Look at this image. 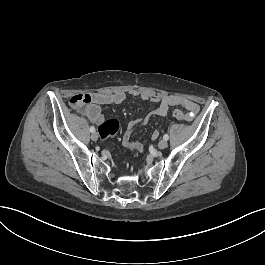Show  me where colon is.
<instances>
[{"label":"colon","instance_id":"obj_1","mask_svg":"<svg viewBox=\"0 0 265 265\" xmlns=\"http://www.w3.org/2000/svg\"><path fill=\"white\" fill-rule=\"evenodd\" d=\"M90 103V97L86 93H80L72 96L68 101V106L72 110H78L81 107H86ZM178 110H180L178 108ZM186 112V111H185ZM182 111H174L173 115L179 120L187 121L188 118ZM120 122L117 119L108 120L102 122L98 127V132L102 140H107L110 137H114L120 131Z\"/></svg>","mask_w":265,"mask_h":265}]
</instances>
